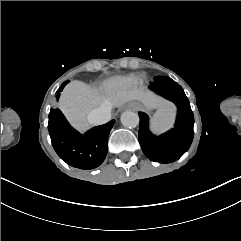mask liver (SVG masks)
Instances as JSON below:
<instances>
[{
  "label": "liver",
  "mask_w": 241,
  "mask_h": 241,
  "mask_svg": "<svg viewBox=\"0 0 241 241\" xmlns=\"http://www.w3.org/2000/svg\"><path fill=\"white\" fill-rule=\"evenodd\" d=\"M121 78L112 77L103 82V93L90 85L73 80L67 84L59 99V109L70 124L79 132L84 133L90 125L87 115L99 108L103 103H111L112 107H122L124 104L137 100L148 109H168L173 111L172 103L156 96L150 91L141 89H121Z\"/></svg>",
  "instance_id": "6515ba94"
}]
</instances>
